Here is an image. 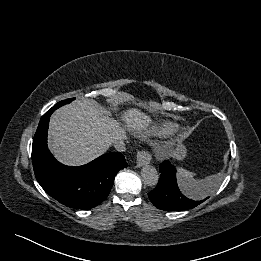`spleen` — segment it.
<instances>
[{"label":"spleen","mask_w":261,"mask_h":261,"mask_svg":"<svg viewBox=\"0 0 261 261\" xmlns=\"http://www.w3.org/2000/svg\"><path fill=\"white\" fill-rule=\"evenodd\" d=\"M177 172H178V176L181 178H184V179H192L194 176V173L189 172L182 168H178ZM216 186H217V183L214 179H208L205 183H203L201 185L200 189H202V188L209 189L210 187H216ZM209 191H210V189H209ZM209 191H206V193H204L203 195H192L191 197L196 200H199L200 198L204 197L207 193H209Z\"/></svg>","instance_id":"obj_1"}]
</instances>
